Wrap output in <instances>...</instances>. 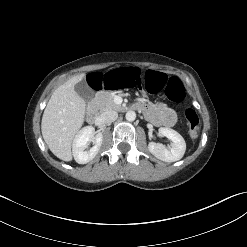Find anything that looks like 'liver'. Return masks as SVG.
<instances>
[{"instance_id": "1", "label": "liver", "mask_w": 247, "mask_h": 247, "mask_svg": "<svg viewBox=\"0 0 247 247\" xmlns=\"http://www.w3.org/2000/svg\"><path fill=\"white\" fill-rule=\"evenodd\" d=\"M83 78L84 74L74 76L53 92L41 122L45 143L55 156L67 162L72 160V142L86 113V103L75 91Z\"/></svg>"}]
</instances>
